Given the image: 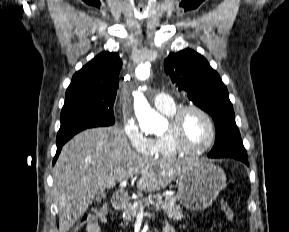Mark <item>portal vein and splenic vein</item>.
<instances>
[{
    "instance_id": "1",
    "label": "portal vein and splenic vein",
    "mask_w": 289,
    "mask_h": 232,
    "mask_svg": "<svg viewBox=\"0 0 289 232\" xmlns=\"http://www.w3.org/2000/svg\"><path fill=\"white\" fill-rule=\"evenodd\" d=\"M127 180L120 182V187H125L127 185ZM143 213V211H141V214Z\"/></svg>"
}]
</instances>
